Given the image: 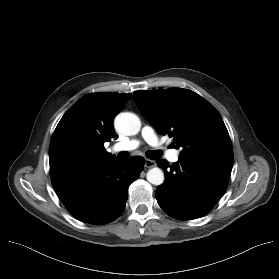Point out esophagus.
Segmentation results:
<instances>
[{"instance_id":"obj_1","label":"esophagus","mask_w":279,"mask_h":279,"mask_svg":"<svg viewBox=\"0 0 279 279\" xmlns=\"http://www.w3.org/2000/svg\"><path fill=\"white\" fill-rule=\"evenodd\" d=\"M155 166H156V162L155 161L149 160V159L145 160V167L146 168H152V167H155Z\"/></svg>"}]
</instances>
